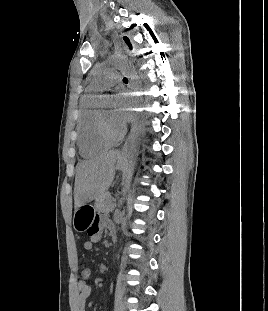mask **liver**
<instances>
[{"mask_svg": "<svg viewBox=\"0 0 268 311\" xmlns=\"http://www.w3.org/2000/svg\"><path fill=\"white\" fill-rule=\"evenodd\" d=\"M120 158V151L111 150L94 160L79 164L74 187L75 208H79L105 193L114 180L115 164Z\"/></svg>", "mask_w": 268, "mask_h": 311, "instance_id": "1", "label": "liver"}]
</instances>
